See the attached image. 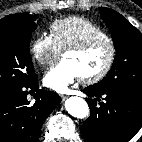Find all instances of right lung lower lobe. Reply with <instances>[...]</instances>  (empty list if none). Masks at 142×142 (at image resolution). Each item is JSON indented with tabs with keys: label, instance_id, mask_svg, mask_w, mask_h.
<instances>
[{
	"label": "right lung lower lobe",
	"instance_id": "obj_1",
	"mask_svg": "<svg viewBox=\"0 0 142 142\" xmlns=\"http://www.w3.org/2000/svg\"><path fill=\"white\" fill-rule=\"evenodd\" d=\"M35 94L30 105L28 93ZM60 103L57 93L39 89L38 79L0 96V142H39L41 127Z\"/></svg>",
	"mask_w": 142,
	"mask_h": 142
}]
</instances>
